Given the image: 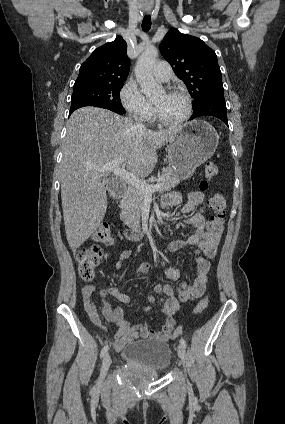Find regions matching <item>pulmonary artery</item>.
<instances>
[{"instance_id": "e3ab8cb5", "label": "pulmonary artery", "mask_w": 285, "mask_h": 424, "mask_svg": "<svg viewBox=\"0 0 285 424\" xmlns=\"http://www.w3.org/2000/svg\"><path fill=\"white\" fill-rule=\"evenodd\" d=\"M153 74L157 80L166 82L172 76V69L166 61H159L153 68Z\"/></svg>"}]
</instances>
